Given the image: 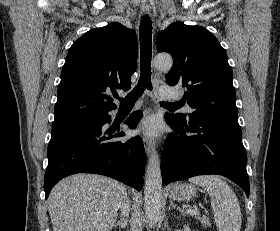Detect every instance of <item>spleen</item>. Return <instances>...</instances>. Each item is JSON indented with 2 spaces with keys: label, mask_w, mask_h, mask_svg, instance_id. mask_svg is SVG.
<instances>
[{
  "label": "spleen",
  "mask_w": 280,
  "mask_h": 231,
  "mask_svg": "<svg viewBox=\"0 0 280 231\" xmlns=\"http://www.w3.org/2000/svg\"><path fill=\"white\" fill-rule=\"evenodd\" d=\"M189 181L208 191L219 231H240L242 217L239 201L236 193L220 175H195Z\"/></svg>",
  "instance_id": "1"
}]
</instances>
